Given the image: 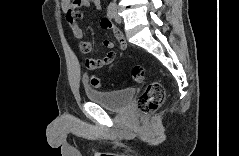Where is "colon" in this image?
<instances>
[{"label":"colon","instance_id":"5ec220e1","mask_svg":"<svg viewBox=\"0 0 239 156\" xmlns=\"http://www.w3.org/2000/svg\"><path fill=\"white\" fill-rule=\"evenodd\" d=\"M132 76L136 82H143L145 70L140 65H135L132 69ZM92 85L102 87L103 84L98 78H92ZM165 101V90L161 83H150L137 101V109L143 116H148L156 111Z\"/></svg>","mask_w":239,"mask_h":156}]
</instances>
